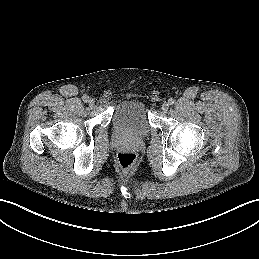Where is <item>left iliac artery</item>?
<instances>
[{"label": "left iliac artery", "mask_w": 259, "mask_h": 259, "mask_svg": "<svg viewBox=\"0 0 259 259\" xmlns=\"http://www.w3.org/2000/svg\"><path fill=\"white\" fill-rule=\"evenodd\" d=\"M168 102H169L170 105H172V104H174L175 100L172 99V98H170V99L168 100Z\"/></svg>", "instance_id": "44dca946"}]
</instances>
